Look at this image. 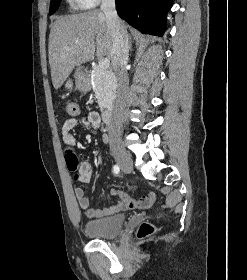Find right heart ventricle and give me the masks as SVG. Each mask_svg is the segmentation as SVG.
I'll use <instances>...</instances> for the list:
<instances>
[{
	"label": "right heart ventricle",
	"instance_id": "1",
	"mask_svg": "<svg viewBox=\"0 0 247 280\" xmlns=\"http://www.w3.org/2000/svg\"><path fill=\"white\" fill-rule=\"evenodd\" d=\"M69 2H70L71 4H76V3H77L76 0H69Z\"/></svg>",
	"mask_w": 247,
	"mask_h": 280
}]
</instances>
